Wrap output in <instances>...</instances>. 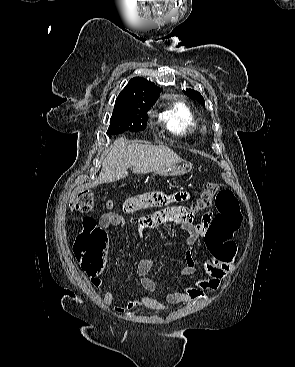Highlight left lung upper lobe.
<instances>
[{
    "label": "left lung upper lobe",
    "mask_w": 295,
    "mask_h": 367,
    "mask_svg": "<svg viewBox=\"0 0 295 367\" xmlns=\"http://www.w3.org/2000/svg\"><path fill=\"white\" fill-rule=\"evenodd\" d=\"M187 96L196 99L197 101H199L200 103H202L203 105H205V101L204 98L201 96V94L198 91H195L193 89H186L185 91H183Z\"/></svg>",
    "instance_id": "5c2ea615"
}]
</instances>
